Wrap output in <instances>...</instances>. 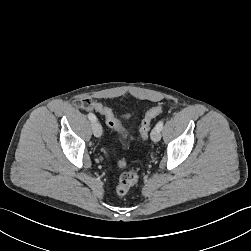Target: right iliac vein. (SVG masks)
<instances>
[{"mask_svg": "<svg viewBox=\"0 0 251 251\" xmlns=\"http://www.w3.org/2000/svg\"><path fill=\"white\" fill-rule=\"evenodd\" d=\"M92 131H93L94 136L101 137V135H102V127H101V125H100L99 122L94 121L92 123Z\"/></svg>", "mask_w": 251, "mask_h": 251, "instance_id": "obj_1", "label": "right iliac vein"}]
</instances>
